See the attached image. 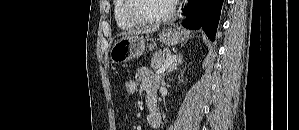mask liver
Segmentation results:
<instances>
[{
	"label": "liver",
	"mask_w": 299,
	"mask_h": 130,
	"mask_svg": "<svg viewBox=\"0 0 299 130\" xmlns=\"http://www.w3.org/2000/svg\"><path fill=\"white\" fill-rule=\"evenodd\" d=\"M157 29H158V27L155 26V27H152V28L144 29V30H133V31L128 32V35H138V34L152 33V32L157 31Z\"/></svg>",
	"instance_id": "6515ba94"
}]
</instances>
